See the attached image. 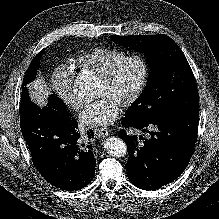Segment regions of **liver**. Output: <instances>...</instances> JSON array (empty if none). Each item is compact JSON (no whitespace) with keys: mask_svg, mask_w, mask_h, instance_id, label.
Masks as SVG:
<instances>
[{"mask_svg":"<svg viewBox=\"0 0 219 219\" xmlns=\"http://www.w3.org/2000/svg\"><path fill=\"white\" fill-rule=\"evenodd\" d=\"M31 100L39 107L47 104V97L50 89L42 76H38L33 82L27 85Z\"/></svg>","mask_w":219,"mask_h":219,"instance_id":"obj_1","label":"liver"}]
</instances>
